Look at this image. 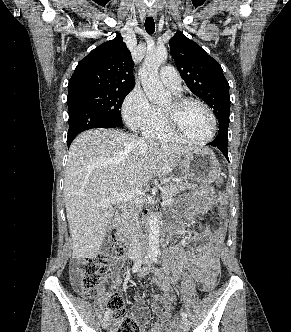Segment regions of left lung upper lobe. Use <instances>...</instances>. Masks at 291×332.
Returning <instances> with one entry per match:
<instances>
[{
	"instance_id": "1",
	"label": "left lung upper lobe",
	"mask_w": 291,
	"mask_h": 332,
	"mask_svg": "<svg viewBox=\"0 0 291 332\" xmlns=\"http://www.w3.org/2000/svg\"><path fill=\"white\" fill-rule=\"evenodd\" d=\"M169 45L188 88L213 109L220 126L228 131L229 84L220 64L180 31L171 38Z\"/></svg>"
}]
</instances>
